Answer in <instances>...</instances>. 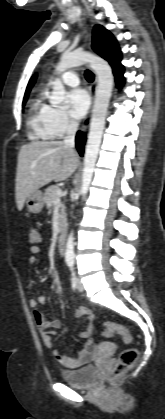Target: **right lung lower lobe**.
I'll return each instance as SVG.
<instances>
[{
    "mask_svg": "<svg viewBox=\"0 0 165 419\" xmlns=\"http://www.w3.org/2000/svg\"><path fill=\"white\" fill-rule=\"evenodd\" d=\"M85 143V136L83 133L78 132L76 136V147L80 153V155H83V146Z\"/></svg>",
    "mask_w": 165,
    "mask_h": 419,
    "instance_id": "1",
    "label": "right lung lower lobe"
}]
</instances>
